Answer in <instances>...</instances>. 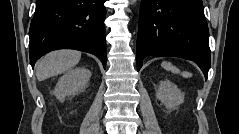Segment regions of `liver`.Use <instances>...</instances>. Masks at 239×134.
<instances>
[{
  "instance_id": "6515ba94",
  "label": "liver",
  "mask_w": 239,
  "mask_h": 134,
  "mask_svg": "<svg viewBox=\"0 0 239 134\" xmlns=\"http://www.w3.org/2000/svg\"><path fill=\"white\" fill-rule=\"evenodd\" d=\"M81 58V52L75 50H58L45 55L36 66L39 81L62 74L75 66Z\"/></svg>"
}]
</instances>
